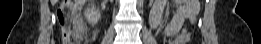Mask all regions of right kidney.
Instances as JSON below:
<instances>
[{
    "label": "right kidney",
    "mask_w": 261,
    "mask_h": 44,
    "mask_svg": "<svg viewBox=\"0 0 261 44\" xmlns=\"http://www.w3.org/2000/svg\"><path fill=\"white\" fill-rule=\"evenodd\" d=\"M84 16L92 25L97 24V22L101 19L100 10L97 9L94 4H91V7L89 5V7L84 12Z\"/></svg>",
    "instance_id": "right-kidney-1"
}]
</instances>
